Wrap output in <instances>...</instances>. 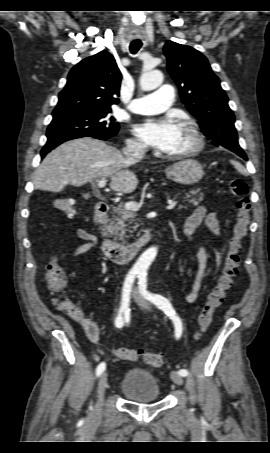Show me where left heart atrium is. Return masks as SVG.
Listing matches in <instances>:
<instances>
[{
	"label": "left heart atrium",
	"mask_w": 270,
	"mask_h": 453,
	"mask_svg": "<svg viewBox=\"0 0 270 453\" xmlns=\"http://www.w3.org/2000/svg\"><path fill=\"white\" fill-rule=\"evenodd\" d=\"M135 131L143 142L165 151L171 147L176 137L177 124L170 118L147 119Z\"/></svg>",
	"instance_id": "1"
}]
</instances>
